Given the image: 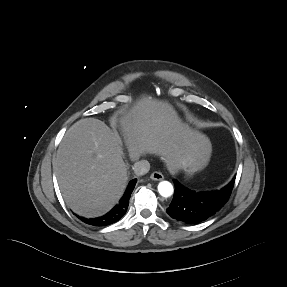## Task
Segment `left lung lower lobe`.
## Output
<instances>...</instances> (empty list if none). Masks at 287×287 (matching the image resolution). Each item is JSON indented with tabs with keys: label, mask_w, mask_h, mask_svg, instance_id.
<instances>
[{
	"label": "left lung lower lobe",
	"mask_w": 287,
	"mask_h": 287,
	"mask_svg": "<svg viewBox=\"0 0 287 287\" xmlns=\"http://www.w3.org/2000/svg\"><path fill=\"white\" fill-rule=\"evenodd\" d=\"M235 178L224 188L213 192H194L176 180L173 200L167 208V213L173 219L189 224H196L215 214L227 202Z\"/></svg>",
	"instance_id": "left-lung-lower-lobe-1"
}]
</instances>
